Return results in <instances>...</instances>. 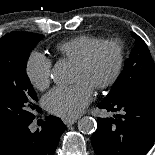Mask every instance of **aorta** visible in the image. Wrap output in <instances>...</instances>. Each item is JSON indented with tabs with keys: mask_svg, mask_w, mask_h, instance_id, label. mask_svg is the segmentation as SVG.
<instances>
[{
	"mask_svg": "<svg viewBox=\"0 0 155 155\" xmlns=\"http://www.w3.org/2000/svg\"><path fill=\"white\" fill-rule=\"evenodd\" d=\"M51 77L57 85L68 84L71 81V69L66 62H57L52 69ZM97 123L93 117L84 116L78 121V129L83 134L95 131Z\"/></svg>",
	"mask_w": 155,
	"mask_h": 155,
	"instance_id": "1",
	"label": "aorta"
}]
</instances>
